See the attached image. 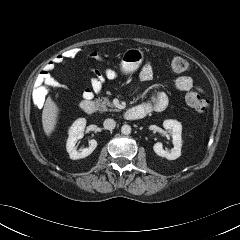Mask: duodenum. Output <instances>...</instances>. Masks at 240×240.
<instances>
[{
    "label": "duodenum",
    "instance_id": "obj_1",
    "mask_svg": "<svg viewBox=\"0 0 240 240\" xmlns=\"http://www.w3.org/2000/svg\"><path fill=\"white\" fill-rule=\"evenodd\" d=\"M80 107L86 114H92L95 111V103L91 99H85L80 103ZM147 115V111L142 107H131L124 112V118L127 120H139Z\"/></svg>",
    "mask_w": 240,
    "mask_h": 240
}]
</instances>
